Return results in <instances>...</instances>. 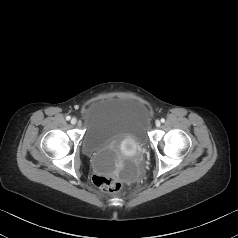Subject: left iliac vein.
I'll return each instance as SVG.
<instances>
[{
  "instance_id": "left-iliac-vein-1",
  "label": "left iliac vein",
  "mask_w": 238,
  "mask_h": 238,
  "mask_svg": "<svg viewBox=\"0 0 238 238\" xmlns=\"http://www.w3.org/2000/svg\"><path fill=\"white\" fill-rule=\"evenodd\" d=\"M155 124H156L157 127H160L161 122H160L159 120H157V121L155 122Z\"/></svg>"
}]
</instances>
